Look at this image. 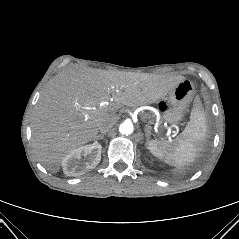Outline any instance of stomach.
<instances>
[{
  "mask_svg": "<svg viewBox=\"0 0 239 239\" xmlns=\"http://www.w3.org/2000/svg\"><path fill=\"white\" fill-rule=\"evenodd\" d=\"M194 85L189 80L179 82L166 98L158 101L162 117L169 123H177L182 120L185 110L191 100Z\"/></svg>",
  "mask_w": 239,
  "mask_h": 239,
  "instance_id": "stomach-1",
  "label": "stomach"
}]
</instances>
